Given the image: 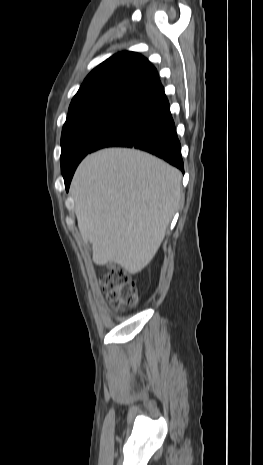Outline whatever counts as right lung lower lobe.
Here are the masks:
<instances>
[{
	"instance_id": "98d812e1",
	"label": "right lung lower lobe",
	"mask_w": 263,
	"mask_h": 465,
	"mask_svg": "<svg viewBox=\"0 0 263 465\" xmlns=\"http://www.w3.org/2000/svg\"><path fill=\"white\" fill-rule=\"evenodd\" d=\"M114 146L144 150L184 172L181 145L163 86L139 98L98 140L91 152ZM74 171L64 177L67 191Z\"/></svg>"
}]
</instances>
